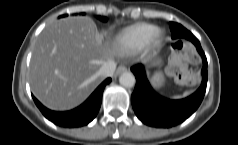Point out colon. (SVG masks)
Listing matches in <instances>:
<instances>
[{"label":"colon","mask_w":238,"mask_h":145,"mask_svg":"<svg viewBox=\"0 0 238 145\" xmlns=\"http://www.w3.org/2000/svg\"><path fill=\"white\" fill-rule=\"evenodd\" d=\"M188 62H198V56L195 49L188 42H175L172 46V55L167 67L169 75L180 83H193L196 80V75L188 70Z\"/></svg>","instance_id":"colon-1"}]
</instances>
